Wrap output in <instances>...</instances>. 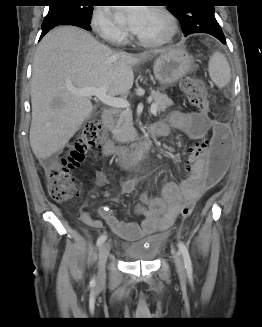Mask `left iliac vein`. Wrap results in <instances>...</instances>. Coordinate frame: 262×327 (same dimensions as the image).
<instances>
[{
    "label": "left iliac vein",
    "mask_w": 262,
    "mask_h": 327,
    "mask_svg": "<svg viewBox=\"0 0 262 327\" xmlns=\"http://www.w3.org/2000/svg\"><path fill=\"white\" fill-rule=\"evenodd\" d=\"M172 256L179 276L184 278L186 273H185L184 262L181 255L176 250H173Z\"/></svg>",
    "instance_id": "1"
}]
</instances>
